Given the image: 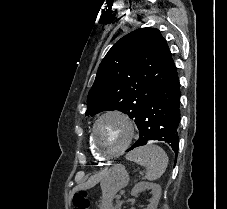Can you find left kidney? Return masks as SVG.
Segmentation results:
<instances>
[{"label":"left kidney","instance_id":"5707ae66","mask_svg":"<svg viewBox=\"0 0 227 209\" xmlns=\"http://www.w3.org/2000/svg\"><path fill=\"white\" fill-rule=\"evenodd\" d=\"M148 189H151L153 197L150 199V205H148L147 209H157V205L161 197L160 185H156V183H145V181H140V183H137L134 189H132L131 195L132 197H137L138 193H141V191H148Z\"/></svg>","mask_w":227,"mask_h":209}]
</instances>
